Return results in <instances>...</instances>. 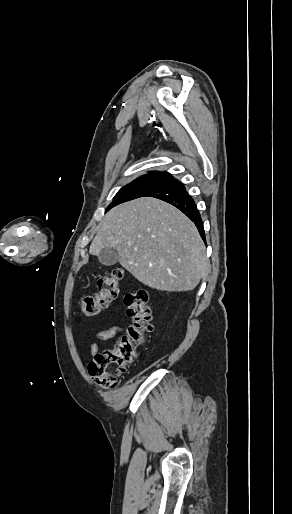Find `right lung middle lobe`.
Listing matches in <instances>:
<instances>
[{
	"instance_id": "1",
	"label": "right lung middle lobe",
	"mask_w": 292,
	"mask_h": 514,
	"mask_svg": "<svg viewBox=\"0 0 292 514\" xmlns=\"http://www.w3.org/2000/svg\"><path fill=\"white\" fill-rule=\"evenodd\" d=\"M170 176L169 173L151 172L135 179L117 192L106 211L120 203L142 197L147 191Z\"/></svg>"
}]
</instances>
